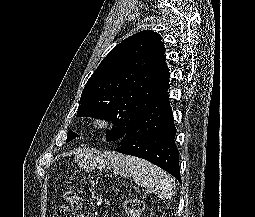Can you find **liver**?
<instances>
[{
	"mask_svg": "<svg viewBox=\"0 0 255 217\" xmlns=\"http://www.w3.org/2000/svg\"><path fill=\"white\" fill-rule=\"evenodd\" d=\"M79 155L81 156V157H87V158H91V151L90 150H81V151H79Z\"/></svg>",
	"mask_w": 255,
	"mask_h": 217,
	"instance_id": "obj_1",
	"label": "liver"
}]
</instances>
